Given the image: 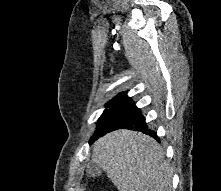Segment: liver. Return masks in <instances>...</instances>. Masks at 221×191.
<instances>
[{
	"instance_id": "liver-1",
	"label": "liver",
	"mask_w": 221,
	"mask_h": 191,
	"mask_svg": "<svg viewBox=\"0 0 221 191\" xmlns=\"http://www.w3.org/2000/svg\"><path fill=\"white\" fill-rule=\"evenodd\" d=\"M164 155L153 138L122 129L95 142L92 161L119 191H171L172 169Z\"/></svg>"
}]
</instances>
